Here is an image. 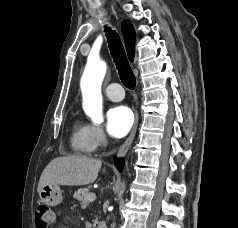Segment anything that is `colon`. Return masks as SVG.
<instances>
[{"mask_svg":"<svg viewBox=\"0 0 238 228\" xmlns=\"http://www.w3.org/2000/svg\"><path fill=\"white\" fill-rule=\"evenodd\" d=\"M55 221L54 211L46 205H40L35 210L36 228H51Z\"/></svg>","mask_w":238,"mask_h":228,"instance_id":"colon-1","label":"colon"}]
</instances>
